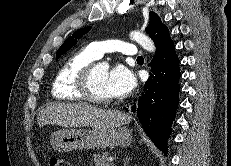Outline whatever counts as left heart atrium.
<instances>
[{
  "instance_id": "obj_1",
  "label": "left heart atrium",
  "mask_w": 231,
  "mask_h": 166,
  "mask_svg": "<svg viewBox=\"0 0 231 166\" xmlns=\"http://www.w3.org/2000/svg\"><path fill=\"white\" fill-rule=\"evenodd\" d=\"M106 85L112 97H124L135 88L136 78L124 65H116L108 72Z\"/></svg>"
}]
</instances>
